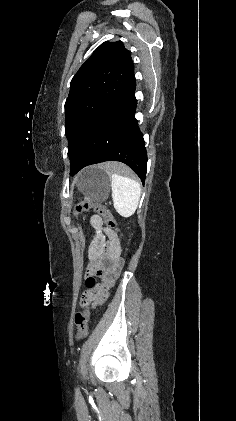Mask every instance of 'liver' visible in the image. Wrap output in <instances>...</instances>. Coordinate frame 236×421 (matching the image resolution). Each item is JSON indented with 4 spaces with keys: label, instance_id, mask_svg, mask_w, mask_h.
Masks as SVG:
<instances>
[{
    "label": "liver",
    "instance_id": "obj_1",
    "mask_svg": "<svg viewBox=\"0 0 236 421\" xmlns=\"http://www.w3.org/2000/svg\"><path fill=\"white\" fill-rule=\"evenodd\" d=\"M100 166L101 168H105V170H111V162H103Z\"/></svg>",
    "mask_w": 236,
    "mask_h": 421
}]
</instances>
